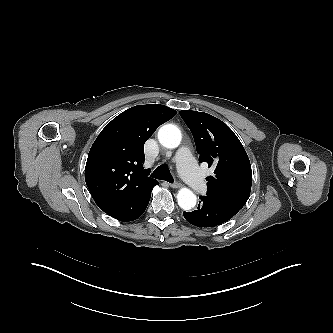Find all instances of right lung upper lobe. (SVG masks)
<instances>
[{
    "label": "right lung upper lobe",
    "mask_w": 333,
    "mask_h": 333,
    "mask_svg": "<svg viewBox=\"0 0 333 333\" xmlns=\"http://www.w3.org/2000/svg\"><path fill=\"white\" fill-rule=\"evenodd\" d=\"M176 113L165 105H138L115 117L101 131L88 154L85 180L102 211H122L135 195L158 184L143 168L144 143Z\"/></svg>",
    "instance_id": "1"
}]
</instances>
